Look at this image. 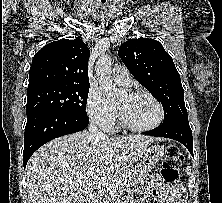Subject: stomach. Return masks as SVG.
Instances as JSON below:
<instances>
[{"instance_id":"0dacf381","label":"stomach","mask_w":222,"mask_h":203,"mask_svg":"<svg viewBox=\"0 0 222 203\" xmlns=\"http://www.w3.org/2000/svg\"><path fill=\"white\" fill-rule=\"evenodd\" d=\"M164 155V146L152 145L142 150L139 156V169L142 173L150 171Z\"/></svg>"}]
</instances>
